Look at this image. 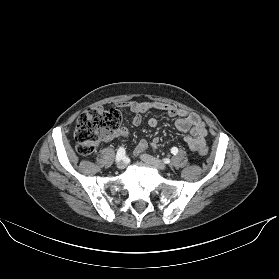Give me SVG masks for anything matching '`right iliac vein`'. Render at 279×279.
Masks as SVG:
<instances>
[{
	"label": "right iliac vein",
	"instance_id": "right-iliac-vein-1",
	"mask_svg": "<svg viewBox=\"0 0 279 279\" xmlns=\"http://www.w3.org/2000/svg\"><path fill=\"white\" fill-rule=\"evenodd\" d=\"M125 167H126L125 161H119V162L117 163V168H118V169L123 170Z\"/></svg>",
	"mask_w": 279,
	"mask_h": 279
}]
</instances>
